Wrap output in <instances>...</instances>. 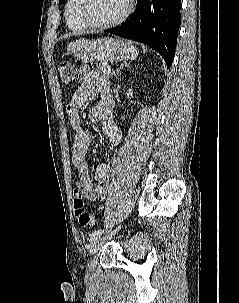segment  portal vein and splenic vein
Here are the masks:
<instances>
[{
	"mask_svg": "<svg viewBox=\"0 0 239 303\" xmlns=\"http://www.w3.org/2000/svg\"><path fill=\"white\" fill-rule=\"evenodd\" d=\"M109 72H111V68H109Z\"/></svg>",
	"mask_w": 239,
	"mask_h": 303,
	"instance_id": "1",
	"label": "portal vein and splenic vein"
}]
</instances>
